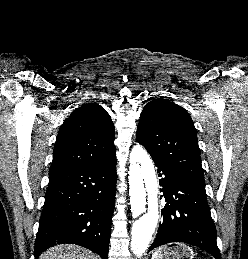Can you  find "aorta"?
<instances>
[{"mask_svg":"<svg viewBox=\"0 0 248 259\" xmlns=\"http://www.w3.org/2000/svg\"><path fill=\"white\" fill-rule=\"evenodd\" d=\"M129 192L132 216L131 250L137 258L147 251L159 219L158 185L154 165L139 144L130 152Z\"/></svg>","mask_w":248,"mask_h":259,"instance_id":"obj_1","label":"aorta"}]
</instances>
